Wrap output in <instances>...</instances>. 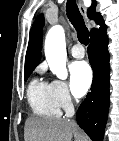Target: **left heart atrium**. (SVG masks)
Listing matches in <instances>:
<instances>
[{
	"instance_id": "39dd6f15",
	"label": "left heart atrium",
	"mask_w": 119,
	"mask_h": 141,
	"mask_svg": "<svg viewBox=\"0 0 119 141\" xmlns=\"http://www.w3.org/2000/svg\"><path fill=\"white\" fill-rule=\"evenodd\" d=\"M70 83L74 95L83 96L92 83V71L90 66L84 62H75L70 67Z\"/></svg>"
}]
</instances>
